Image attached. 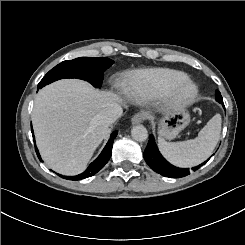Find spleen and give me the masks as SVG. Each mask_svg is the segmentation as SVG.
<instances>
[{"mask_svg":"<svg viewBox=\"0 0 245 245\" xmlns=\"http://www.w3.org/2000/svg\"><path fill=\"white\" fill-rule=\"evenodd\" d=\"M221 115L216 114L200 130L198 136L184 142H167L158 137V147L173 165L188 168L201 164L214 151L221 133Z\"/></svg>","mask_w":245,"mask_h":245,"instance_id":"3e777b00","label":"spleen"}]
</instances>
